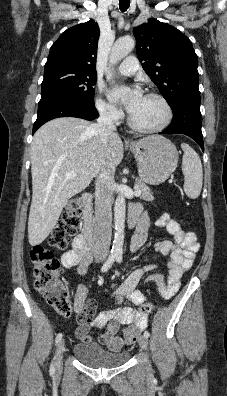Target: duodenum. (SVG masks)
Masks as SVG:
<instances>
[{
	"label": "duodenum",
	"instance_id": "410a0bca",
	"mask_svg": "<svg viewBox=\"0 0 227 396\" xmlns=\"http://www.w3.org/2000/svg\"><path fill=\"white\" fill-rule=\"evenodd\" d=\"M92 201L93 194L91 192H86L82 195L83 202V228L82 234L80 235L88 248H90L93 244V231H94V222H93V214H92ZM136 216L131 214L129 224L131 227H134L136 224Z\"/></svg>",
	"mask_w": 227,
	"mask_h": 396
}]
</instances>
